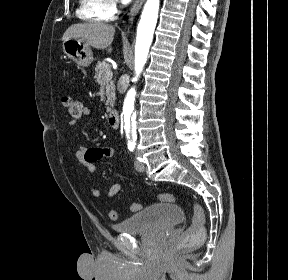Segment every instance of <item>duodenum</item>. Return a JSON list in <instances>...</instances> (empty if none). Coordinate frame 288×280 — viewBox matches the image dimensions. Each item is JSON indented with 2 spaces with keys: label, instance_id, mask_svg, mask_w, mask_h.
Masks as SVG:
<instances>
[{
  "label": "duodenum",
  "instance_id": "duodenum-1",
  "mask_svg": "<svg viewBox=\"0 0 288 280\" xmlns=\"http://www.w3.org/2000/svg\"><path fill=\"white\" fill-rule=\"evenodd\" d=\"M107 120H108V124H109L112 128H114V129L119 128V125H120V115H119V112H118L117 110H111V111L108 113Z\"/></svg>",
  "mask_w": 288,
  "mask_h": 280
}]
</instances>
